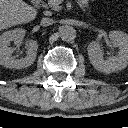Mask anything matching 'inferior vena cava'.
<instances>
[{
    "label": "inferior vena cava",
    "mask_w": 128,
    "mask_h": 128,
    "mask_svg": "<svg viewBox=\"0 0 128 128\" xmlns=\"http://www.w3.org/2000/svg\"><path fill=\"white\" fill-rule=\"evenodd\" d=\"M53 23H54L53 19L48 18V17L42 18L41 20L42 26H49V25H52Z\"/></svg>",
    "instance_id": "inferior-vena-cava-1"
}]
</instances>
